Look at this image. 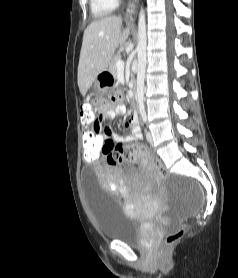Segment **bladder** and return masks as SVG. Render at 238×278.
<instances>
[{
  "mask_svg": "<svg viewBox=\"0 0 238 278\" xmlns=\"http://www.w3.org/2000/svg\"><path fill=\"white\" fill-rule=\"evenodd\" d=\"M82 174V180H94L93 169H82ZM84 186L87 203L99 233L110 240L142 245L145 239L143 221L126 214L117 196L98 187V181H84Z\"/></svg>",
  "mask_w": 238,
  "mask_h": 278,
  "instance_id": "1",
  "label": "bladder"
}]
</instances>
